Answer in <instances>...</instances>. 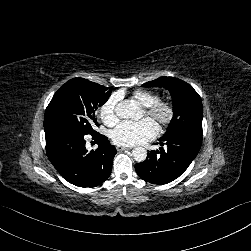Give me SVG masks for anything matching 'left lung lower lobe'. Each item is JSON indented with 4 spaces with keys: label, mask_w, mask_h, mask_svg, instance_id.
<instances>
[{
    "label": "left lung lower lobe",
    "mask_w": 251,
    "mask_h": 251,
    "mask_svg": "<svg viewBox=\"0 0 251 251\" xmlns=\"http://www.w3.org/2000/svg\"><path fill=\"white\" fill-rule=\"evenodd\" d=\"M159 141L167 147L150 151L145 161L135 164V170L146 182L163 185L185 172L201 148L202 136L178 133Z\"/></svg>",
    "instance_id": "0a47b994"
}]
</instances>
